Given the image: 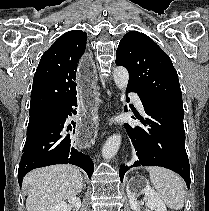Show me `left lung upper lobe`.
Masks as SVG:
<instances>
[{"mask_svg":"<svg viewBox=\"0 0 209 211\" xmlns=\"http://www.w3.org/2000/svg\"><path fill=\"white\" fill-rule=\"evenodd\" d=\"M116 64L129 71L128 87L144 97L182 104L177 72L169 56L148 36L130 31L121 39Z\"/></svg>","mask_w":209,"mask_h":211,"instance_id":"5c2ea615","label":"left lung upper lobe"}]
</instances>
